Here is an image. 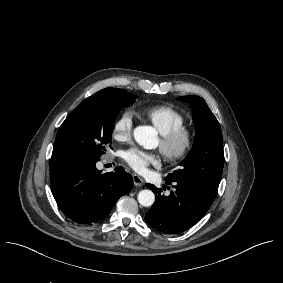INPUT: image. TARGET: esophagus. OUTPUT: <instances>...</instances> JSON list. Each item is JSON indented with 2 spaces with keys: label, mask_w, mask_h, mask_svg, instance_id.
<instances>
[{
  "label": "esophagus",
  "mask_w": 283,
  "mask_h": 283,
  "mask_svg": "<svg viewBox=\"0 0 283 283\" xmlns=\"http://www.w3.org/2000/svg\"><path fill=\"white\" fill-rule=\"evenodd\" d=\"M133 184L135 186H142L144 184V180L140 178L137 174H133Z\"/></svg>",
  "instance_id": "34e87169"
}]
</instances>
